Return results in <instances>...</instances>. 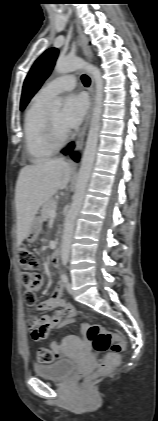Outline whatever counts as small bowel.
Here are the masks:
<instances>
[{
	"instance_id": "1",
	"label": "small bowel",
	"mask_w": 158,
	"mask_h": 421,
	"mask_svg": "<svg viewBox=\"0 0 158 421\" xmlns=\"http://www.w3.org/2000/svg\"><path fill=\"white\" fill-rule=\"evenodd\" d=\"M36 308L39 311L55 309V313L52 316H42L40 318L34 314L29 315L28 330L34 341L46 339L60 325L74 320L76 316L74 306L66 302L63 298V284L60 282L56 285L51 297L40 302ZM74 342H76V338L74 336H68L62 341H52L50 346L57 357H62L65 354L67 346Z\"/></svg>"
}]
</instances>
